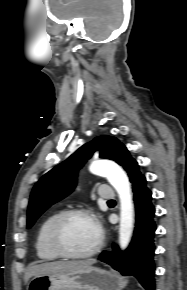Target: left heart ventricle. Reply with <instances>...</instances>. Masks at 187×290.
<instances>
[{
  "mask_svg": "<svg viewBox=\"0 0 187 290\" xmlns=\"http://www.w3.org/2000/svg\"><path fill=\"white\" fill-rule=\"evenodd\" d=\"M99 233L95 223L87 217H74L63 228V242L74 252H86L98 241Z\"/></svg>",
  "mask_w": 187,
  "mask_h": 290,
  "instance_id": "left-heart-ventricle-1",
  "label": "left heart ventricle"
}]
</instances>
